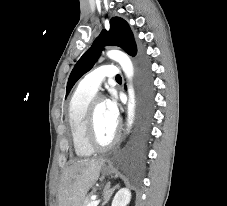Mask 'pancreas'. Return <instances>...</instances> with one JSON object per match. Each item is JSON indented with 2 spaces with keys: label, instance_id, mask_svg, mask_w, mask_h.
I'll return each mask as SVG.
<instances>
[{
  "label": "pancreas",
  "instance_id": "1",
  "mask_svg": "<svg viewBox=\"0 0 227 206\" xmlns=\"http://www.w3.org/2000/svg\"><path fill=\"white\" fill-rule=\"evenodd\" d=\"M90 202H91V200H90V195H87V196L84 198L83 203H82L81 206H87L88 203H90Z\"/></svg>",
  "mask_w": 227,
  "mask_h": 206
}]
</instances>
